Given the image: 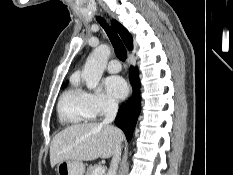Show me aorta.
I'll return each instance as SVG.
<instances>
[{
    "label": "aorta",
    "mask_w": 233,
    "mask_h": 175,
    "mask_svg": "<svg viewBox=\"0 0 233 175\" xmlns=\"http://www.w3.org/2000/svg\"><path fill=\"white\" fill-rule=\"evenodd\" d=\"M109 55V46L102 44L95 48L88 57L82 71V79L85 81L88 89L92 90L97 87L108 62Z\"/></svg>",
    "instance_id": "obj_1"
}]
</instances>
